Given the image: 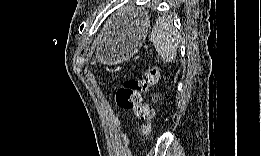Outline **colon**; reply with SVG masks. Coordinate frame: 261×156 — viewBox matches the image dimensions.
<instances>
[{
    "label": "colon",
    "mask_w": 261,
    "mask_h": 156,
    "mask_svg": "<svg viewBox=\"0 0 261 156\" xmlns=\"http://www.w3.org/2000/svg\"><path fill=\"white\" fill-rule=\"evenodd\" d=\"M159 74V67H150L142 76L127 79L115 94V101L119 108L135 112L137 119L140 121L139 132L141 136L150 133L151 121L154 115L152 106L143 102L142 95L157 83Z\"/></svg>",
    "instance_id": "1"
}]
</instances>
